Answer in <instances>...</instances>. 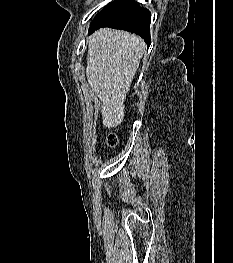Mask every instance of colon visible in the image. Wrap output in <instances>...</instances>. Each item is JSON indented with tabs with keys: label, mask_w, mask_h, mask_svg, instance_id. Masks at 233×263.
Wrapping results in <instances>:
<instances>
[{
	"label": "colon",
	"mask_w": 233,
	"mask_h": 263,
	"mask_svg": "<svg viewBox=\"0 0 233 263\" xmlns=\"http://www.w3.org/2000/svg\"><path fill=\"white\" fill-rule=\"evenodd\" d=\"M118 143V137L117 135L111 133L107 136V147L108 148H113L117 145Z\"/></svg>",
	"instance_id": "colon-1"
}]
</instances>
